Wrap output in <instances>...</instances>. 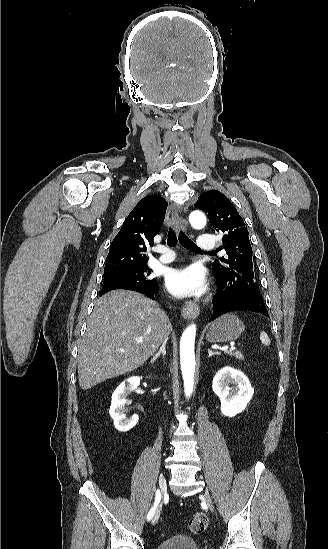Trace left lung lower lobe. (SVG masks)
Returning <instances> with one entry per match:
<instances>
[{
	"label": "left lung lower lobe",
	"mask_w": 328,
	"mask_h": 549,
	"mask_svg": "<svg viewBox=\"0 0 328 549\" xmlns=\"http://www.w3.org/2000/svg\"><path fill=\"white\" fill-rule=\"evenodd\" d=\"M236 310L258 312L269 317L262 299L258 300L252 293L227 290L218 282V292L213 299V315L210 320Z\"/></svg>",
	"instance_id": "1"
}]
</instances>
